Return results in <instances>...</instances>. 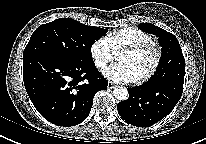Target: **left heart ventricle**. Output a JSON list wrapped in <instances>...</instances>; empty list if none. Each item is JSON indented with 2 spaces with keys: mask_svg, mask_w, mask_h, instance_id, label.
<instances>
[{
  "mask_svg": "<svg viewBox=\"0 0 206 144\" xmlns=\"http://www.w3.org/2000/svg\"><path fill=\"white\" fill-rule=\"evenodd\" d=\"M153 57V51L147 49L135 54L120 53L118 54V61L128 65L136 79H138L149 70L153 62Z\"/></svg>",
  "mask_w": 206,
  "mask_h": 144,
  "instance_id": "left-heart-ventricle-1",
  "label": "left heart ventricle"
}]
</instances>
